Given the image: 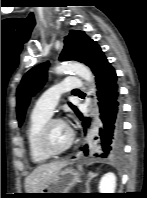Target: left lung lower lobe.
I'll use <instances>...</instances> for the list:
<instances>
[{
  "instance_id": "left-lung-lower-lobe-1",
  "label": "left lung lower lobe",
  "mask_w": 147,
  "mask_h": 198,
  "mask_svg": "<svg viewBox=\"0 0 147 198\" xmlns=\"http://www.w3.org/2000/svg\"><path fill=\"white\" fill-rule=\"evenodd\" d=\"M86 65L96 76L97 96L101 112L102 128L99 133L101 145L100 157L115 159L121 156L123 150L122 110L119 103L117 76L114 68L107 61L99 45L94 41L88 53ZM78 117L83 121V127L89 125L90 120L83 118L79 112ZM88 146L81 148L87 155ZM95 156H98L95 154Z\"/></svg>"
}]
</instances>
